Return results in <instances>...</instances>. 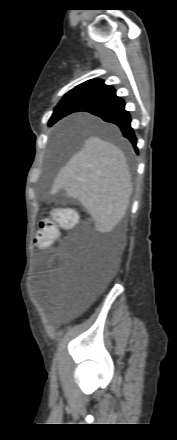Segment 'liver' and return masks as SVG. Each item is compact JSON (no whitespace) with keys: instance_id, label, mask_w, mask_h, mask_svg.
I'll return each instance as SVG.
<instances>
[{"instance_id":"obj_1","label":"liver","mask_w":177,"mask_h":440,"mask_svg":"<svg viewBox=\"0 0 177 440\" xmlns=\"http://www.w3.org/2000/svg\"><path fill=\"white\" fill-rule=\"evenodd\" d=\"M61 189L86 208L99 231H112L124 218L133 190L124 153L100 137L87 138L61 168L50 193Z\"/></svg>"}]
</instances>
